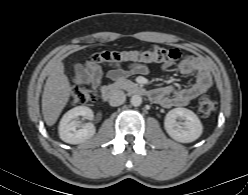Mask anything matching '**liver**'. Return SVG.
Wrapping results in <instances>:
<instances>
[{
  "instance_id": "1",
  "label": "liver",
  "mask_w": 248,
  "mask_h": 195,
  "mask_svg": "<svg viewBox=\"0 0 248 195\" xmlns=\"http://www.w3.org/2000/svg\"><path fill=\"white\" fill-rule=\"evenodd\" d=\"M71 86L61 61L53 63L42 95V113L48 126L56 123L69 101Z\"/></svg>"
}]
</instances>
